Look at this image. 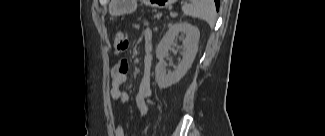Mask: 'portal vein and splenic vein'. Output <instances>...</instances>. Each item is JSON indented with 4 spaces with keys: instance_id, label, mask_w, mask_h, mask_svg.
I'll return each mask as SVG.
<instances>
[{
    "instance_id": "portal-vein-and-splenic-vein-1",
    "label": "portal vein and splenic vein",
    "mask_w": 325,
    "mask_h": 136,
    "mask_svg": "<svg viewBox=\"0 0 325 136\" xmlns=\"http://www.w3.org/2000/svg\"><path fill=\"white\" fill-rule=\"evenodd\" d=\"M170 15H171V16H176L177 13H175V12H171Z\"/></svg>"
}]
</instances>
